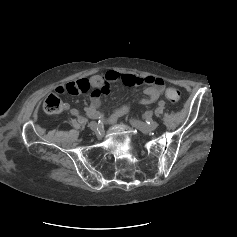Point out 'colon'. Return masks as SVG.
<instances>
[{
    "label": "colon",
    "mask_w": 237,
    "mask_h": 237,
    "mask_svg": "<svg viewBox=\"0 0 237 237\" xmlns=\"http://www.w3.org/2000/svg\"><path fill=\"white\" fill-rule=\"evenodd\" d=\"M165 97L171 104H176L181 97V93L175 87H168ZM43 109L48 114H58L62 111L61 99L56 94H50L43 103Z\"/></svg>",
    "instance_id": "colon-1"
}]
</instances>
